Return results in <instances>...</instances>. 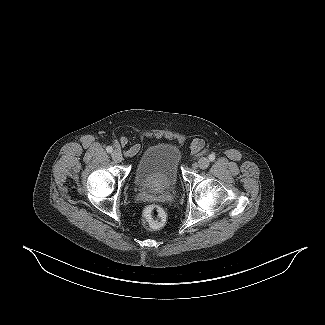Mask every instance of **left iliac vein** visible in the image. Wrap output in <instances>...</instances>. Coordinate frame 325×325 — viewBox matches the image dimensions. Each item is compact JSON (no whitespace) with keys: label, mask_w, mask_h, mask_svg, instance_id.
<instances>
[{"label":"left iliac vein","mask_w":325,"mask_h":325,"mask_svg":"<svg viewBox=\"0 0 325 325\" xmlns=\"http://www.w3.org/2000/svg\"><path fill=\"white\" fill-rule=\"evenodd\" d=\"M209 166V160L205 157H201L199 160H198V167L200 169H206L207 167Z\"/></svg>","instance_id":"left-iliac-vein-1"}]
</instances>
